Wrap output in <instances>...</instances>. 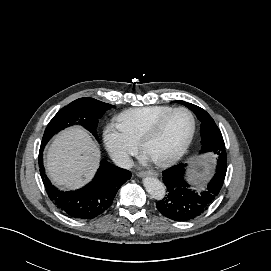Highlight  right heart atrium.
Here are the masks:
<instances>
[{
  "mask_svg": "<svg viewBox=\"0 0 271 271\" xmlns=\"http://www.w3.org/2000/svg\"><path fill=\"white\" fill-rule=\"evenodd\" d=\"M103 140L110 156L120 165H128L138 152V145L118 125L108 124Z\"/></svg>",
  "mask_w": 271,
  "mask_h": 271,
  "instance_id": "d8ad5b80",
  "label": "right heart atrium"
}]
</instances>
